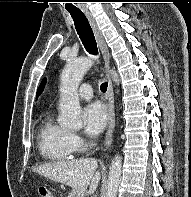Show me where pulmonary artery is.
I'll return each instance as SVG.
<instances>
[{
    "label": "pulmonary artery",
    "mask_w": 191,
    "mask_h": 197,
    "mask_svg": "<svg viewBox=\"0 0 191 197\" xmlns=\"http://www.w3.org/2000/svg\"><path fill=\"white\" fill-rule=\"evenodd\" d=\"M78 95L80 98L89 100L93 97L92 87L89 84H82L78 89Z\"/></svg>",
    "instance_id": "pulmonary-artery-1"
}]
</instances>
